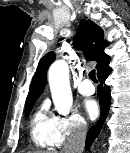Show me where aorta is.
I'll use <instances>...</instances> for the list:
<instances>
[{
  "instance_id": "aorta-1",
  "label": "aorta",
  "mask_w": 130,
  "mask_h": 153,
  "mask_svg": "<svg viewBox=\"0 0 130 153\" xmlns=\"http://www.w3.org/2000/svg\"><path fill=\"white\" fill-rule=\"evenodd\" d=\"M48 79L55 109L59 114H69L73 98L69 82V67L66 61H55L49 68Z\"/></svg>"
}]
</instances>
